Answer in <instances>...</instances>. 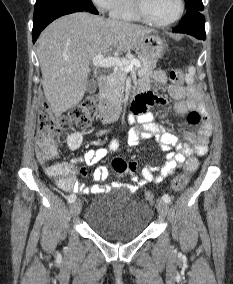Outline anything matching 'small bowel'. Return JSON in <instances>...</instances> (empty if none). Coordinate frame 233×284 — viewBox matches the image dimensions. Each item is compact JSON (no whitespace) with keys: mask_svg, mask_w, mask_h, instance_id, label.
<instances>
[{"mask_svg":"<svg viewBox=\"0 0 233 284\" xmlns=\"http://www.w3.org/2000/svg\"><path fill=\"white\" fill-rule=\"evenodd\" d=\"M155 85L163 86L167 83V75L163 70H156L151 77ZM151 82L143 79L140 82V89L143 91L136 99L133 105L131 123L139 126L132 129L130 136L133 141L140 137H155L163 151L167 152L166 161L154 174V169L150 165H145L138 173L137 164L129 162L126 174L139 187L148 183H160L165 178L174 174L175 170L180 168L192 156H204L208 151L209 138L211 136V125L207 119H204L196 132H186V143L179 141L178 137L170 133L164 126L153 121L152 114L148 108L153 105H164L167 103L165 97L157 96L149 92ZM168 92L175 101V110L179 114H185L190 109H201L203 98L201 93L192 86L170 85ZM118 141L113 139L109 148L88 149L82 157L74 159L72 162L57 163L46 167V173L52 177L55 182L64 190L77 193H94L103 191L98 184L86 186L77 180V176L85 177L87 175L86 166H92L104 159L110 152L118 149ZM109 176V170L105 166H100L92 173L94 182L104 181ZM113 185H119L114 183Z\"/></svg>","mask_w":233,"mask_h":284,"instance_id":"1","label":"small bowel"}]
</instances>
